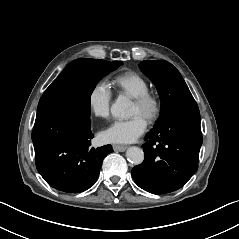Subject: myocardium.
<instances>
[{"instance_id": "1", "label": "myocardium", "mask_w": 239, "mask_h": 239, "mask_svg": "<svg viewBox=\"0 0 239 239\" xmlns=\"http://www.w3.org/2000/svg\"><path fill=\"white\" fill-rule=\"evenodd\" d=\"M134 102L141 107L149 123H155L161 116L163 103L158 93L148 90L135 96Z\"/></svg>"}]
</instances>
